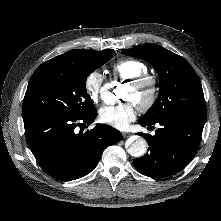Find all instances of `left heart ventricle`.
Instances as JSON below:
<instances>
[{
    "instance_id": "1",
    "label": "left heart ventricle",
    "mask_w": 221,
    "mask_h": 221,
    "mask_svg": "<svg viewBox=\"0 0 221 221\" xmlns=\"http://www.w3.org/2000/svg\"><path fill=\"white\" fill-rule=\"evenodd\" d=\"M145 95V90H137L131 85H126L124 87L122 97L137 104Z\"/></svg>"
}]
</instances>
